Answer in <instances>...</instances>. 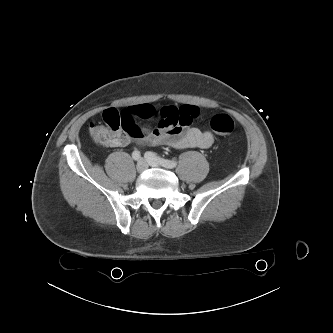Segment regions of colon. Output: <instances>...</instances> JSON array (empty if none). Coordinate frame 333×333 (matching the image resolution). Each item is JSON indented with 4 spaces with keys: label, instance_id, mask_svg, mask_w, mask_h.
<instances>
[{
    "label": "colon",
    "instance_id": "obj_1",
    "mask_svg": "<svg viewBox=\"0 0 333 333\" xmlns=\"http://www.w3.org/2000/svg\"><path fill=\"white\" fill-rule=\"evenodd\" d=\"M102 119L103 123L90 125L89 133L95 142L104 146H111L118 132L133 133L136 129L134 118L127 112L108 109L103 112ZM210 128L216 134L227 136L233 133L235 124L229 115L217 114L211 118Z\"/></svg>",
    "mask_w": 333,
    "mask_h": 333
}]
</instances>
